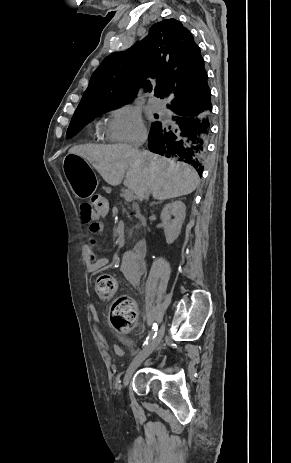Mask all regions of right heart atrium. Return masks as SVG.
<instances>
[{"mask_svg": "<svg viewBox=\"0 0 291 463\" xmlns=\"http://www.w3.org/2000/svg\"><path fill=\"white\" fill-rule=\"evenodd\" d=\"M102 135L112 142H141L146 136V129L137 107L125 104L113 109L103 126Z\"/></svg>", "mask_w": 291, "mask_h": 463, "instance_id": "obj_1", "label": "right heart atrium"}]
</instances>
